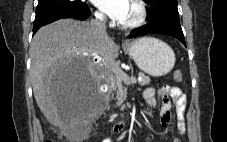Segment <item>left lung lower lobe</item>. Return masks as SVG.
Here are the masks:
<instances>
[{
    "label": "left lung lower lobe",
    "instance_id": "1",
    "mask_svg": "<svg viewBox=\"0 0 227 142\" xmlns=\"http://www.w3.org/2000/svg\"><path fill=\"white\" fill-rule=\"evenodd\" d=\"M152 33L166 34L175 37L186 46L180 22L169 18H158L151 20L148 25L132 30L129 38Z\"/></svg>",
    "mask_w": 227,
    "mask_h": 142
}]
</instances>
